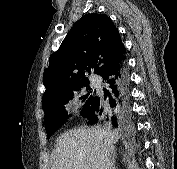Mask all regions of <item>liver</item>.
Returning a JSON list of instances; mask_svg holds the SVG:
<instances>
[{
  "instance_id": "obj_1",
  "label": "liver",
  "mask_w": 177,
  "mask_h": 169,
  "mask_svg": "<svg viewBox=\"0 0 177 169\" xmlns=\"http://www.w3.org/2000/svg\"><path fill=\"white\" fill-rule=\"evenodd\" d=\"M115 144L118 133L110 129L78 128L62 134L56 142L51 169H105L104 135Z\"/></svg>"
}]
</instances>
